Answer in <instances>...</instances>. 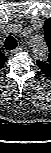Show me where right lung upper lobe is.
Returning <instances> with one entry per match:
<instances>
[{
	"label": "right lung upper lobe",
	"instance_id": "obj_1",
	"mask_svg": "<svg viewBox=\"0 0 51 153\" xmlns=\"http://www.w3.org/2000/svg\"><path fill=\"white\" fill-rule=\"evenodd\" d=\"M7 58L0 52V68L6 62Z\"/></svg>",
	"mask_w": 51,
	"mask_h": 153
}]
</instances>
